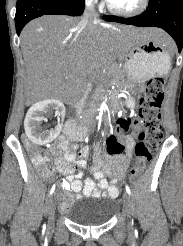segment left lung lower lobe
<instances>
[{
    "mask_svg": "<svg viewBox=\"0 0 183 246\" xmlns=\"http://www.w3.org/2000/svg\"><path fill=\"white\" fill-rule=\"evenodd\" d=\"M106 21H113L139 27H159L175 40L179 52L183 47V0H149L147 10L138 16L121 18L104 16Z\"/></svg>",
    "mask_w": 183,
    "mask_h": 246,
    "instance_id": "obj_1",
    "label": "left lung lower lobe"
}]
</instances>
